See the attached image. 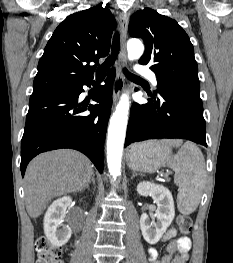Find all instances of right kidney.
<instances>
[{"instance_id":"right-kidney-1","label":"right kidney","mask_w":233,"mask_h":263,"mask_svg":"<svg viewBox=\"0 0 233 263\" xmlns=\"http://www.w3.org/2000/svg\"><path fill=\"white\" fill-rule=\"evenodd\" d=\"M72 199L64 196L55 200L47 209L44 216V233L52 245L60 247L68 242L72 230L68 225H63L67 214V207Z\"/></svg>"}]
</instances>
